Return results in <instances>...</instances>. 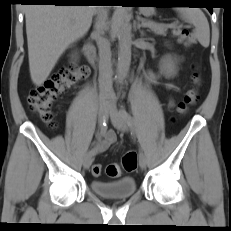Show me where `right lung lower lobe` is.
Wrapping results in <instances>:
<instances>
[{
	"instance_id": "obj_1",
	"label": "right lung lower lobe",
	"mask_w": 231,
	"mask_h": 231,
	"mask_svg": "<svg viewBox=\"0 0 231 231\" xmlns=\"http://www.w3.org/2000/svg\"><path fill=\"white\" fill-rule=\"evenodd\" d=\"M79 0H23L22 2L26 3H50L54 5H81Z\"/></svg>"
}]
</instances>
